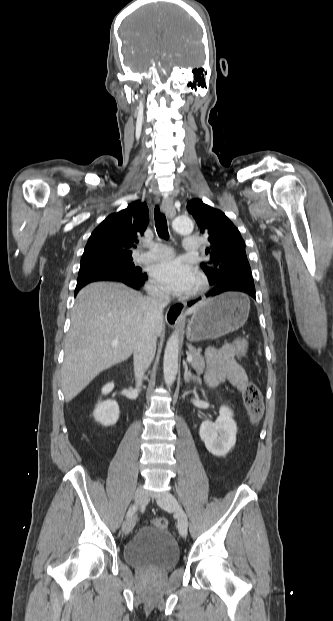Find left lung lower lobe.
<instances>
[{
	"mask_svg": "<svg viewBox=\"0 0 333 621\" xmlns=\"http://www.w3.org/2000/svg\"><path fill=\"white\" fill-rule=\"evenodd\" d=\"M228 291H238V292H243L246 293L250 296H252L254 299L256 298L255 296V286H254V282L250 281V280H246V279H230L227 280L226 282L215 286L211 291H209V293L207 294V296H216L219 295L223 292H228ZM199 299L195 300V301H191L188 303L189 306L193 305L194 303H196Z\"/></svg>",
	"mask_w": 333,
	"mask_h": 621,
	"instance_id": "0a47b994",
	"label": "left lung lower lobe"
}]
</instances>
